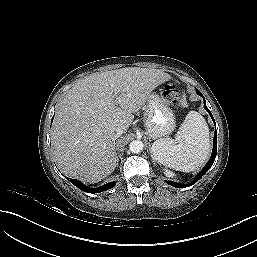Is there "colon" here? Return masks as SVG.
<instances>
[{
  "mask_svg": "<svg viewBox=\"0 0 257 257\" xmlns=\"http://www.w3.org/2000/svg\"><path fill=\"white\" fill-rule=\"evenodd\" d=\"M166 94L170 99L175 100L179 95V90L174 85H167Z\"/></svg>",
  "mask_w": 257,
  "mask_h": 257,
  "instance_id": "colon-1",
  "label": "colon"
}]
</instances>
